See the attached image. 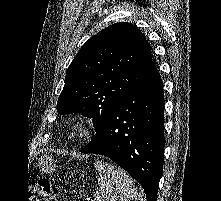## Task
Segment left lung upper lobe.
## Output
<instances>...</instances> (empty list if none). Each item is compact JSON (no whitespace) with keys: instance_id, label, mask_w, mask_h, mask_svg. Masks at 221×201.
Returning <instances> with one entry per match:
<instances>
[{"instance_id":"1","label":"left lung upper lobe","mask_w":221,"mask_h":201,"mask_svg":"<svg viewBox=\"0 0 221 201\" xmlns=\"http://www.w3.org/2000/svg\"><path fill=\"white\" fill-rule=\"evenodd\" d=\"M151 47L139 29L116 23L91 37L68 67L59 114L81 112L98 132L115 106L156 71Z\"/></svg>"}]
</instances>
